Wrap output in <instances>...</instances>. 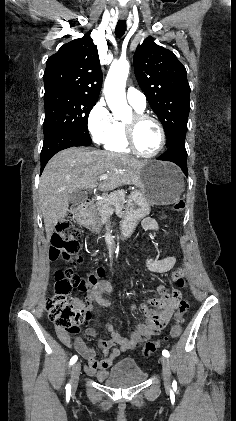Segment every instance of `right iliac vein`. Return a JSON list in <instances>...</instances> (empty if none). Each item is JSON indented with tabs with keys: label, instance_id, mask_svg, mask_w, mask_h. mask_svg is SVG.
Returning a JSON list of instances; mask_svg holds the SVG:
<instances>
[{
	"label": "right iliac vein",
	"instance_id": "63e3f726",
	"mask_svg": "<svg viewBox=\"0 0 236 421\" xmlns=\"http://www.w3.org/2000/svg\"><path fill=\"white\" fill-rule=\"evenodd\" d=\"M80 375V364L75 363L71 368L70 381L73 388H76Z\"/></svg>",
	"mask_w": 236,
	"mask_h": 421
}]
</instances>
